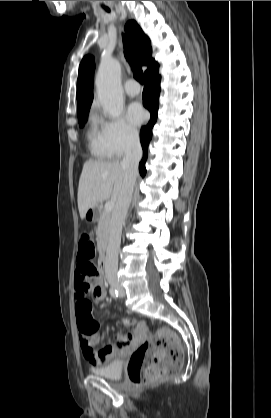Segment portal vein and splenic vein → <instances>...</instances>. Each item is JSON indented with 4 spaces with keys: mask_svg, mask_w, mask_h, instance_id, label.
Returning a JSON list of instances; mask_svg holds the SVG:
<instances>
[{
    "mask_svg": "<svg viewBox=\"0 0 271 418\" xmlns=\"http://www.w3.org/2000/svg\"><path fill=\"white\" fill-rule=\"evenodd\" d=\"M114 205H115V203L113 201L107 202L105 204V207H104L105 211L111 212L113 210V208H114Z\"/></svg>",
    "mask_w": 271,
    "mask_h": 418,
    "instance_id": "portal-vein-and-splenic-vein-1",
    "label": "portal vein and splenic vein"
}]
</instances>
